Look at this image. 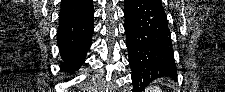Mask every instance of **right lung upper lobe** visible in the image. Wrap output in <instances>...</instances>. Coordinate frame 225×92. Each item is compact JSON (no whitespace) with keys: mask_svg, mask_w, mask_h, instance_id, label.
<instances>
[{"mask_svg":"<svg viewBox=\"0 0 225 92\" xmlns=\"http://www.w3.org/2000/svg\"><path fill=\"white\" fill-rule=\"evenodd\" d=\"M92 11H94L92 0H62L59 23L80 19Z\"/></svg>","mask_w":225,"mask_h":92,"instance_id":"obj_1","label":"right lung upper lobe"}]
</instances>
